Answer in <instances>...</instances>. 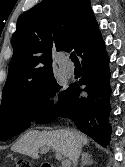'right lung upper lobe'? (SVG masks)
<instances>
[{
	"label": "right lung upper lobe",
	"instance_id": "right-lung-upper-lobe-1",
	"mask_svg": "<svg viewBox=\"0 0 125 167\" xmlns=\"http://www.w3.org/2000/svg\"><path fill=\"white\" fill-rule=\"evenodd\" d=\"M89 0H43L23 13L12 36L13 56L2 99L54 77L53 51L82 49L99 33Z\"/></svg>",
	"mask_w": 125,
	"mask_h": 167
}]
</instances>
